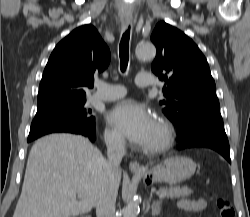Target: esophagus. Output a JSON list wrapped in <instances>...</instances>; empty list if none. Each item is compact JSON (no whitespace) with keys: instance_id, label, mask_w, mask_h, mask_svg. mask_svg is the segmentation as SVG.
Segmentation results:
<instances>
[{"instance_id":"esophagus-1","label":"esophagus","mask_w":250,"mask_h":217,"mask_svg":"<svg viewBox=\"0 0 250 217\" xmlns=\"http://www.w3.org/2000/svg\"><path fill=\"white\" fill-rule=\"evenodd\" d=\"M131 20L128 18L122 19V26L127 27L130 24ZM129 169L132 172H142L144 171V168L137 162V161H132L129 164Z\"/></svg>"}]
</instances>
